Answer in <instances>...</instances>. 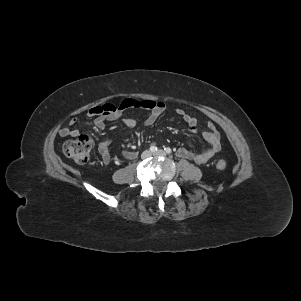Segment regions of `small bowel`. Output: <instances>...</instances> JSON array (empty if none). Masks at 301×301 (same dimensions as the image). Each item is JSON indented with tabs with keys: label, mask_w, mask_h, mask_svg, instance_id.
I'll return each mask as SVG.
<instances>
[{
	"label": "small bowel",
	"mask_w": 301,
	"mask_h": 301,
	"mask_svg": "<svg viewBox=\"0 0 301 301\" xmlns=\"http://www.w3.org/2000/svg\"><path fill=\"white\" fill-rule=\"evenodd\" d=\"M102 106H96L89 110L88 116H94V126L98 130H104L107 121H118L122 120L123 123L130 128H139L144 126H150L154 124L157 119L165 111V104L163 102H156L151 100L137 101L135 99H124L114 111L105 112L102 111ZM132 109H143L147 111V116L142 121H136L132 118H123V114L127 110ZM176 113L183 118V120L188 125V131L190 133H197V120L195 117L187 114L182 109H177ZM78 123L77 118L70 120V127H63L59 130V135L61 137L72 136L75 137L79 134V130L74 128ZM202 137L209 143L210 147L202 152L191 151L186 148H179L177 150V155L180 158L191 160L197 164H205L210 159H212L221 149L220 135L219 132L214 127L213 123L208 122V129L201 132ZM98 152L101 159L105 165L110 164V141L108 139H103L98 144ZM123 156L125 158L131 159L136 156L135 151H124Z\"/></svg>",
	"instance_id": "c3829d8e"
}]
</instances>
